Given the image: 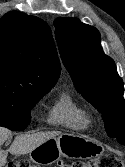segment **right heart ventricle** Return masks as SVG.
Segmentation results:
<instances>
[{"instance_id":"right-heart-ventricle-1","label":"right heart ventricle","mask_w":125,"mask_h":167,"mask_svg":"<svg viewBox=\"0 0 125 167\" xmlns=\"http://www.w3.org/2000/svg\"><path fill=\"white\" fill-rule=\"evenodd\" d=\"M47 121L53 126L82 130L89 126L87 111L69 94L62 93L51 105Z\"/></svg>"}]
</instances>
